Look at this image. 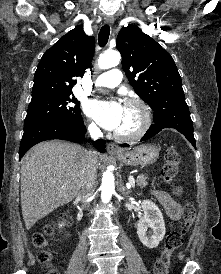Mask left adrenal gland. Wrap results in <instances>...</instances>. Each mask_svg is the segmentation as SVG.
<instances>
[{
	"label": "left adrenal gland",
	"instance_id": "a2214340",
	"mask_svg": "<svg viewBox=\"0 0 221 274\" xmlns=\"http://www.w3.org/2000/svg\"><path fill=\"white\" fill-rule=\"evenodd\" d=\"M119 191L122 195H128L131 193V190H127L122 183H120Z\"/></svg>",
	"mask_w": 221,
	"mask_h": 274
}]
</instances>
